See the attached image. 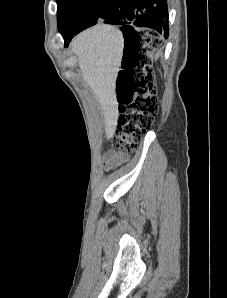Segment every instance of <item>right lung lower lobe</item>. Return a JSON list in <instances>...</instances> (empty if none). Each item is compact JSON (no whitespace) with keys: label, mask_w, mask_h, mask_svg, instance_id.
Returning <instances> with one entry per match:
<instances>
[{"label":"right lung lower lobe","mask_w":227,"mask_h":298,"mask_svg":"<svg viewBox=\"0 0 227 298\" xmlns=\"http://www.w3.org/2000/svg\"><path fill=\"white\" fill-rule=\"evenodd\" d=\"M124 25L125 47L129 36L136 35L133 26L151 28L168 38L167 0H105L75 31L63 34L64 46L80 31L98 21ZM123 66V64H122Z\"/></svg>","instance_id":"1"}]
</instances>
